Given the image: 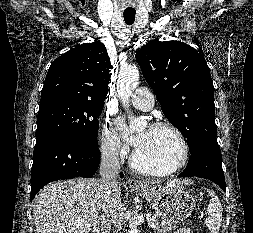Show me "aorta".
Returning a JSON list of instances; mask_svg holds the SVG:
<instances>
[{
    "label": "aorta",
    "mask_w": 253,
    "mask_h": 233,
    "mask_svg": "<svg viewBox=\"0 0 253 233\" xmlns=\"http://www.w3.org/2000/svg\"><path fill=\"white\" fill-rule=\"evenodd\" d=\"M138 81L139 71L135 65H129L120 69L117 81V92L125 107H127L128 98L136 89ZM129 121V129L131 132L146 124L144 119L138 117L136 118L132 115L129 116ZM128 232L138 233L137 227L135 225H130Z\"/></svg>",
    "instance_id": "obj_1"
}]
</instances>
